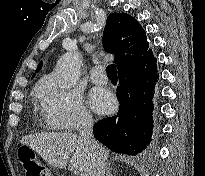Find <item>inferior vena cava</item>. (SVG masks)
I'll use <instances>...</instances> for the list:
<instances>
[{
  "mask_svg": "<svg viewBox=\"0 0 205 176\" xmlns=\"http://www.w3.org/2000/svg\"><path fill=\"white\" fill-rule=\"evenodd\" d=\"M93 119L90 116H84L79 126V138L90 149L92 153L93 169L91 176H104L106 157L102 147L93 137L92 132Z\"/></svg>",
  "mask_w": 205,
  "mask_h": 176,
  "instance_id": "1",
  "label": "inferior vena cava"
}]
</instances>
